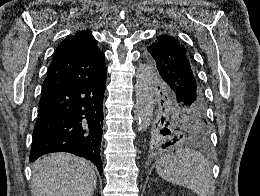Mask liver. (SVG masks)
<instances>
[{
	"mask_svg": "<svg viewBox=\"0 0 260 196\" xmlns=\"http://www.w3.org/2000/svg\"><path fill=\"white\" fill-rule=\"evenodd\" d=\"M32 170V196H93L96 190L91 162L73 154H50L36 160Z\"/></svg>",
	"mask_w": 260,
	"mask_h": 196,
	"instance_id": "6515ba94",
	"label": "liver"
}]
</instances>
